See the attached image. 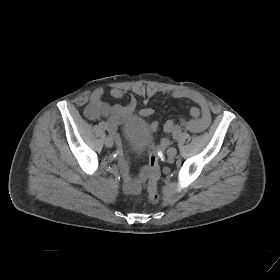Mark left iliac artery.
Here are the masks:
<instances>
[{"label":"left iliac artery","mask_w":280,"mask_h":280,"mask_svg":"<svg viewBox=\"0 0 280 280\" xmlns=\"http://www.w3.org/2000/svg\"><path fill=\"white\" fill-rule=\"evenodd\" d=\"M182 132V127L178 124L173 125L172 129H171V133H172V137L174 140H177L179 138V136L181 135Z\"/></svg>","instance_id":"obj_1"}]
</instances>
